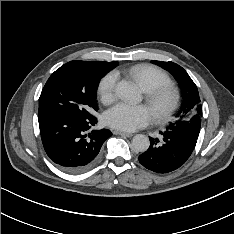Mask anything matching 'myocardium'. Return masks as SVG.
<instances>
[{
    "mask_svg": "<svg viewBox=\"0 0 234 234\" xmlns=\"http://www.w3.org/2000/svg\"><path fill=\"white\" fill-rule=\"evenodd\" d=\"M164 98L168 99L167 104L162 109L158 104ZM180 93L172 84L159 85L145 94V101L150 107L153 117L157 122H166L172 118L180 105Z\"/></svg>",
    "mask_w": 234,
    "mask_h": 234,
    "instance_id": "myocardium-1",
    "label": "myocardium"
}]
</instances>
